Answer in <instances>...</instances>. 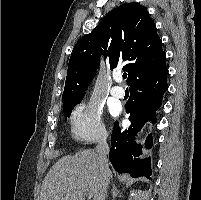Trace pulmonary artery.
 <instances>
[{
  "label": "pulmonary artery",
  "instance_id": "e3ab8cb5",
  "mask_svg": "<svg viewBox=\"0 0 201 200\" xmlns=\"http://www.w3.org/2000/svg\"><path fill=\"white\" fill-rule=\"evenodd\" d=\"M115 79L119 83L121 81V76L117 75ZM110 93L115 98H123L125 94L124 89L120 85L112 87Z\"/></svg>",
  "mask_w": 201,
  "mask_h": 200
}]
</instances>
